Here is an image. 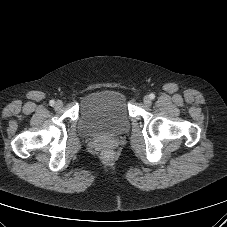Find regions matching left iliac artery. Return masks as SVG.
<instances>
[{"label":"left iliac artery","mask_w":227,"mask_h":227,"mask_svg":"<svg viewBox=\"0 0 227 227\" xmlns=\"http://www.w3.org/2000/svg\"><path fill=\"white\" fill-rule=\"evenodd\" d=\"M149 97H150V99H154V98H155V95H154L153 93H151V94L149 95Z\"/></svg>","instance_id":"1"}]
</instances>
